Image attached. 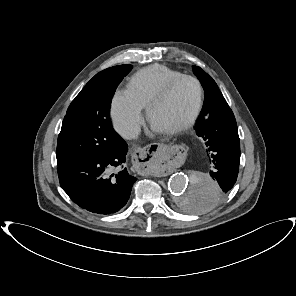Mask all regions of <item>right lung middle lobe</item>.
I'll return each mask as SVG.
<instances>
[{
	"label": "right lung middle lobe",
	"instance_id": "1",
	"mask_svg": "<svg viewBox=\"0 0 296 296\" xmlns=\"http://www.w3.org/2000/svg\"><path fill=\"white\" fill-rule=\"evenodd\" d=\"M131 69L132 65H121L101 71L72 101L58 136V166L122 148L124 140L111 125L109 109L117 86Z\"/></svg>",
	"mask_w": 296,
	"mask_h": 296
}]
</instances>
